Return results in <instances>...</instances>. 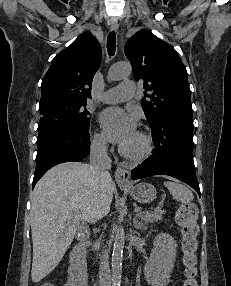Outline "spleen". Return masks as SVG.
Returning <instances> with one entry per match:
<instances>
[{"instance_id": "3e777b00", "label": "spleen", "mask_w": 231, "mask_h": 286, "mask_svg": "<svg viewBox=\"0 0 231 286\" xmlns=\"http://www.w3.org/2000/svg\"><path fill=\"white\" fill-rule=\"evenodd\" d=\"M164 186L169 190L173 199L181 203L188 204L194 198L192 191L177 181H165Z\"/></svg>"}]
</instances>
